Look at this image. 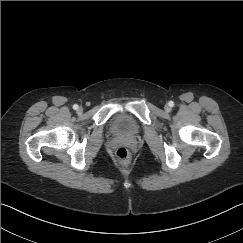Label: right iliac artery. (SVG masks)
<instances>
[{"label": "right iliac artery", "instance_id": "obj_1", "mask_svg": "<svg viewBox=\"0 0 243 243\" xmlns=\"http://www.w3.org/2000/svg\"><path fill=\"white\" fill-rule=\"evenodd\" d=\"M73 109H74V110L78 109V105H77V104H74V105H73Z\"/></svg>", "mask_w": 243, "mask_h": 243}]
</instances>
